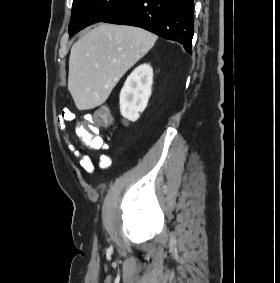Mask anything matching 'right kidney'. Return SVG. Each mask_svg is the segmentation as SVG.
<instances>
[{
  "label": "right kidney",
  "mask_w": 280,
  "mask_h": 283,
  "mask_svg": "<svg viewBox=\"0 0 280 283\" xmlns=\"http://www.w3.org/2000/svg\"><path fill=\"white\" fill-rule=\"evenodd\" d=\"M153 83V69L149 64H142L128 76L120 92V112L128 121L135 122L147 107L151 96Z\"/></svg>",
  "instance_id": "right-kidney-1"
}]
</instances>
